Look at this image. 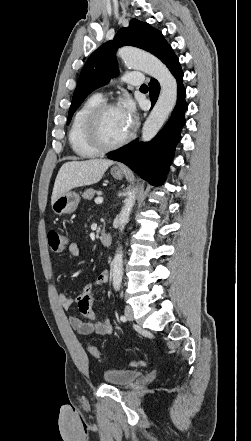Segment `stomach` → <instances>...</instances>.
<instances>
[{
    "label": "stomach",
    "mask_w": 251,
    "mask_h": 441,
    "mask_svg": "<svg viewBox=\"0 0 251 441\" xmlns=\"http://www.w3.org/2000/svg\"><path fill=\"white\" fill-rule=\"evenodd\" d=\"M123 170L112 168L111 169V175L115 179H122L123 178ZM80 198L79 195L76 192L68 191L64 194L60 195L53 203H52V210L57 215L62 214H71L73 213L79 204Z\"/></svg>",
    "instance_id": "stomach-1"
}]
</instances>
